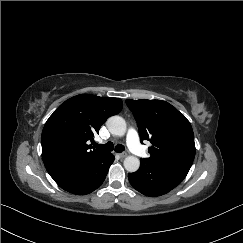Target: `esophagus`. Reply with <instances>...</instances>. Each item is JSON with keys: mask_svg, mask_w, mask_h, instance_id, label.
<instances>
[{"mask_svg": "<svg viewBox=\"0 0 243 243\" xmlns=\"http://www.w3.org/2000/svg\"><path fill=\"white\" fill-rule=\"evenodd\" d=\"M119 156H120V158H124V157L127 156V153L126 152H121V153H119Z\"/></svg>", "mask_w": 243, "mask_h": 243, "instance_id": "esophagus-1", "label": "esophagus"}]
</instances>
